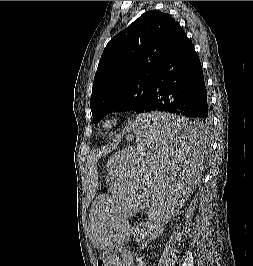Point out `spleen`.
Masks as SVG:
<instances>
[{"mask_svg":"<svg viewBox=\"0 0 253 266\" xmlns=\"http://www.w3.org/2000/svg\"><path fill=\"white\" fill-rule=\"evenodd\" d=\"M130 147L110 161L113 207H93L89 235L93 246L130 248L129 235L137 228V210L150 218L166 216L188 204V191L200 178L205 123L175 111H150L131 117Z\"/></svg>","mask_w":253,"mask_h":266,"instance_id":"1","label":"spleen"}]
</instances>
